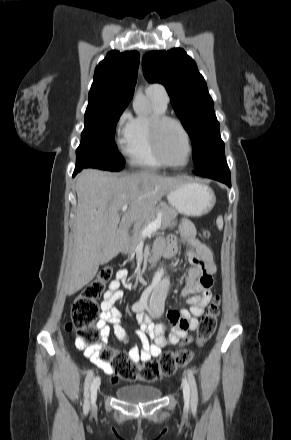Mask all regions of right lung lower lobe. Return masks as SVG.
<instances>
[{"mask_svg": "<svg viewBox=\"0 0 291 440\" xmlns=\"http://www.w3.org/2000/svg\"><path fill=\"white\" fill-rule=\"evenodd\" d=\"M78 172H80V170L75 169L73 176H75Z\"/></svg>", "mask_w": 291, "mask_h": 440, "instance_id": "right-lung-lower-lobe-1", "label": "right lung lower lobe"}]
</instances>
